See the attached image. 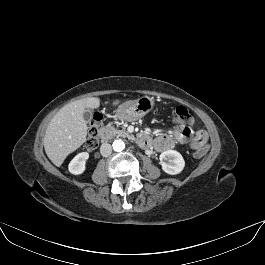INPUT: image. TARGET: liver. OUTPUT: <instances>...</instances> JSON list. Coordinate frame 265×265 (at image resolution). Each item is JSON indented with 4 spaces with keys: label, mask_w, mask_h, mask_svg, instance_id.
<instances>
[{
    "label": "liver",
    "mask_w": 265,
    "mask_h": 265,
    "mask_svg": "<svg viewBox=\"0 0 265 265\" xmlns=\"http://www.w3.org/2000/svg\"><path fill=\"white\" fill-rule=\"evenodd\" d=\"M118 103L119 100H115L113 105ZM99 105L98 97L80 99L62 107L51 119L45 132L44 149L54 165L60 167L66 157L86 141L88 127L84 111Z\"/></svg>",
    "instance_id": "obj_1"
}]
</instances>
